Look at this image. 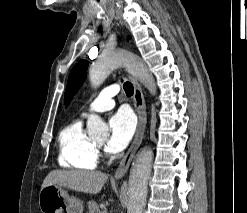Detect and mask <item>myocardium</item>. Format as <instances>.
<instances>
[{
    "mask_svg": "<svg viewBox=\"0 0 247 213\" xmlns=\"http://www.w3.org/2000/svg\"><path fill=\"white\" fill-rule=\"evenodd\" d=\"M94 146H95V149H97V150H100L101 149V145H98V144H95L94 143Z\"/></svg>",
    "mask_w": 247,
    "mask_h": 213,
    "instance_id": "myocardium-1",
    "label": "myocardium"
}]
</instances>
